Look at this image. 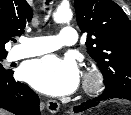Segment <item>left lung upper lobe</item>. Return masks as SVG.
<instances>
[{"mask_svg":"<svg viewBox=\"0 0 131 115\" xmlns=\"http://www.w3.org/2000/svg\"><path fill=\"white\" fill-rule=\"evenodd\" d=\"M87 52L104 76L106 94H131V21L112 0H74Z\"/></svg>","mask_w":131,"mask_h":115,"instance_id":"left-lung-upper-lobe-1","label":"left lung upper lobe"}]
</instances>
